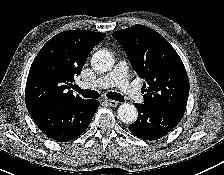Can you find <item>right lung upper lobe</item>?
Wrapping results in <instances>:
<instances>
[{
	"instance_id": "right-lung-upper-lobe-1",
	"label": "right lung upper lobe",
	"mask_w": 224,
	"mask_h": 175,
	"mask_svg": "<svg viewBox=\"0 0 224 175\" xmlns=\"http://www.w3.org/2000/svg\"><path fill=\"white\" fill-rule=\"evenodd\" d=\"M106 36L88 30H71L50 39L35 57L26 83L25 100L30 114L50 106L83 100L74 96L78 76L91 50Z\"/></svg>"
}]
</instances>
